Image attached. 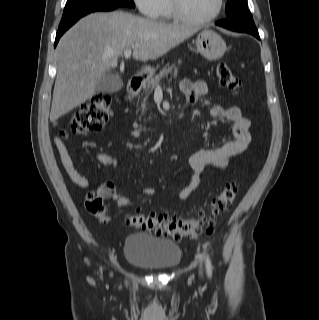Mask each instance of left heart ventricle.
I'll use <instances>...</instances> for the list:
<instances>
[{"label":"left heart ventricle","instance_id":"left-heart-ventricle-1","mask_svg":"<svg viewBox=\"0 0 319 320\" xmlns=\"http://www.w3.org/2000/svg\"><path fill=\"white\" fill-rule=\"evenodd\" d=\"M179 4L188 16L206 18L215 12L218 0H179Z\"/></svg>","mask_w":319,"mask_h":320}]
</instances>
